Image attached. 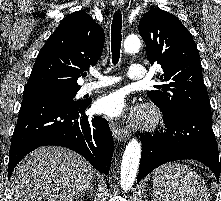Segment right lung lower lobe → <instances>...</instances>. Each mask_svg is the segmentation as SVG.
I'll list each match as a JSON object with an SVG mask.
<instances>
[{"label":"right lung lower lobe","mask_w":221,"mask_h":201,"mask_svg":"<svg viewBox=\"0 0 221 201\" xmlns=\"http://www.w3.org/2000/svg\"><path fill=\"white\" fill-rule=\"evenodd\" d=\"M90 103L23 98L11 140L8 177L25 155L45 145L67 147L85 157L100 172L108 174L113 137L104 118H89L84 114Z\"/></svg>","instance_id":"98d812e1"}]
</instances>
